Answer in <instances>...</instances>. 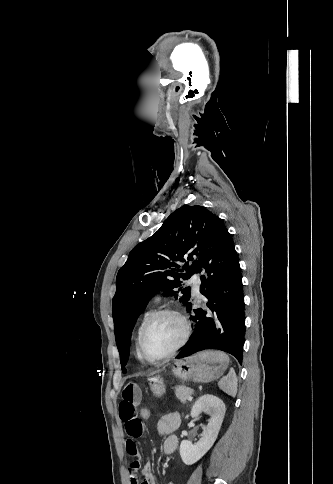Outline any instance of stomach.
<instances>
[{"label": "stomach", "mask_w": 333, "mask_h": 484, "mask_svg": "<svg viewBox=\"0 0 333 484\" xmlns=\"http://www.w3.org/2000/svg\"><path fill=\"white\" fill-rule=\"evenodd\" d=\"M229 364L228 356L220 351H204L176 360L172 367L173 375L183 384L190 381L211 382L223 375ZM152 392L160 396L165 391L163 374H149Z\"/></svg>", "instance_id": "stomach-1"}]
</instances>
